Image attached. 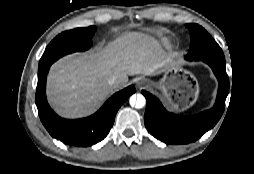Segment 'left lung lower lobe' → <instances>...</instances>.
<instances>
[{"label":"left lung lower lobe","instance_id":"left-lung-lower-lobe-1","mask_svg":"<svg viewBox=\"0 0 254 174\" xmlns=\"http://www.w3.org/2000/svg\"><path fill=\"white\" fill-rule=\"evenodd\" d=\"M201 61L212 68L219 81L217 99L213 108L195 116H178L167 112L156 97L142 91L147 101L144 115L145 126L155 138L166 144H187L196 141L213 128L223 114L229 92L225 62L214 59Z\"/></svg>","mask_w":254,"mask_h":174}]
</instances>
